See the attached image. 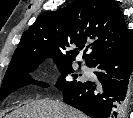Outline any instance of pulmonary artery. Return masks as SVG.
<instances>
[{
	"mask_svg": "<svg viewBox=\"0 0 133 118\" xmlns=\"http://www.w3.org/2000/svg\"><path fill=\"white\" fill-rule=\"evenodd\" d=\"M82 69H83V71L90 73L89 69L86 66H83Z\"/></svg>",
	"mask_w": 133,
	"mask_h": 118,
	"instance_id": "obj_1",
	"label": "pulmonary artery"
}]
</instances>
